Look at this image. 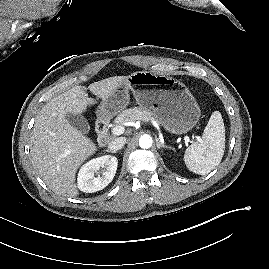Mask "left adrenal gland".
I'll list each match as a JSON object with an SVG mask.
<instances>
[{
    "label": "left adrenal gland",
    "instance_id": "left-adrenal-gland-1",
    "mask_svg": "<svg viewBox=\"0 0 269 269\" xmlns=\"http://www.w3.org/2000/svg\"><path fill=\"white\" fill-rule=\"evenodd\" d=\"M156 142H157V148L158 149H161V148L171 149L170 146H167V145H164V144L160 143L158 138H156Z\"/></svg>",
    "mask_w": 269,
    "mask_h": 269
}]
</instances>
